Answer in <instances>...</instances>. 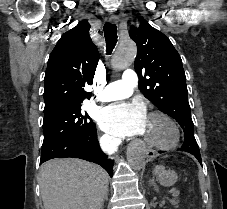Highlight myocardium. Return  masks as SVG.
Segmentation results:
<instances>
[{"label":"myocardium","mask_w":227,"mask_h":209,"mask_svg":"<svg viewBox=\"0 0 227 209\" xmlns=\"http://www.w3.org/2000/svg\"><path fill=\"white\" fill-rule=\"evenodd\" d=\"M149 117L160 118L164 120L172 130V138L170 139V141L165 143V145H163L162 143L153 142L147 139H142V142L146 146L150 148L158 149V150L175 148L179 144L181 139V131L177 122L169 114L163 111H153L149 114Z\"/></svg>","instance_id":"myocardium-1"}]
</instances>
